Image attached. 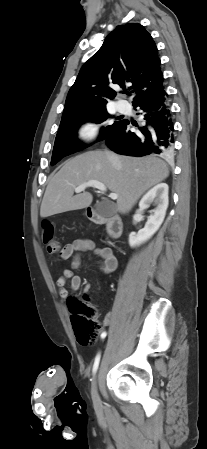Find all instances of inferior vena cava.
Wrapping results in <instances>:
<instances>
[{"label": "inferior vena cava", "mask_w": 207, "mask_h": 449, "mask_svg": "<svg viewBox=\"0 0 207 449\" xmlns=\"http://www.w3.org/2000/svg\"><path fill=\"white\" fill-rule=\"evenodd\" d=\"M106 155H107L108 159H109L113 164H117V163L119 162V159H118V157H117L115 154H113V153H111V152H109V151H106Z\"/></svg>", "instance_id": "602c4592"}]
</instances>
